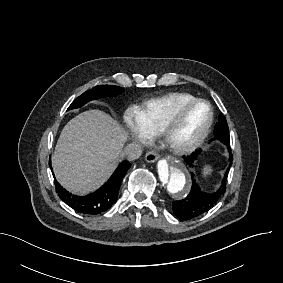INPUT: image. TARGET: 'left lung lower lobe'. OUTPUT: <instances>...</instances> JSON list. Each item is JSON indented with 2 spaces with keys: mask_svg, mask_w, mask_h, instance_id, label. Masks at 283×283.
Listing matches in <instances>:
<instances>
[{
  "mask_svg": "<svg viewBox=\"0 0 283 283\" xmlns=\"http://www.w3.org/2000/svg\"><path fill=\"white\" fill-rule=\"evenodd\" d=\"M214 135L215 137L211 141L216 140L227 147L230 153L229 160L231 165L233 158L230 149L229 129L226 119L222 114L219 116V121L215 126ZM200 151L201 150H197L192 154V156L183 157L189 167L193 166V162L200 154ZM228 172L229 168L225 172L221 187L214 193L203 192L196 181L192 178V187L188 196L183 200L174 201L172 203L175 215L180 219L189 220L208 212L225 193ZM191 176H194L193 173H191Z\"/></svg>",
  "mask_w": 283,
  "mask_h": 283,
  "instance_id": "1",
  "label": "left lung lower lobe"
}]
</instances>
